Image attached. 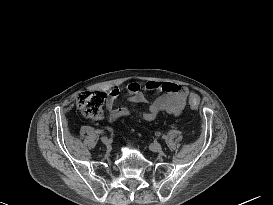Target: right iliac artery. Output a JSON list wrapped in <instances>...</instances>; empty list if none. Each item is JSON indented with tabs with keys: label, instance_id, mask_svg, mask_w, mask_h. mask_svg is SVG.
Returning <instances> with one entry per match:
<instances>
[{
	"label": "right iliac artery",
	"instance_id": "right-iliac-artery-1",
	"mask_svg": "<svg viewBox=\"0 0 273 205\" xmlns=\"http://www.w3.org/2000/svg\"><path fill=\"white\" fill-rule=\"evenodd\" d=\"M96 132H97V133H103V131H100V130H97Z\"/></svg>",
	"mask_w": 273,
	"mask_h": 205
}]
</instances>
